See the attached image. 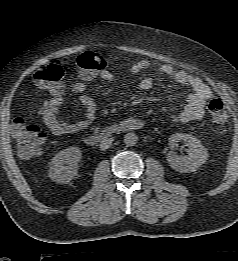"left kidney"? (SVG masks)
<instances>
[{"label": "left kidney", "mask_w": 238, "mask_h": 261, "mask_svg": "<svg viewBox=\"0 0 238 261\" xmlns=\"http://www.w3.org/2000/svg\"><path fill=\"white\" fill-rule=\"evenodd\" d=\"M180 141L186 142L188 149L187 155H177L173 149ZM169 146L172 149L167 155V162L170 167L176 171L189 173L196 171L208 158L207 149L196 137L175 133L169 137Z\"/></svg>", "instance_id": "5707ae66"}]
</instances>
